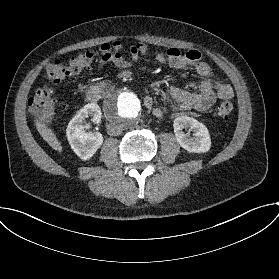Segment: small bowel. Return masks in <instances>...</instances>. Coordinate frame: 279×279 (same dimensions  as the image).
<instances>
[{
  "label": "small bowel",
  "mask_w": 279,
  "mask_h": 279,
  "mask_svg": "<svg viewBox=\"0 0 279 279\" xmlns=\"http://www.w3.org/2000/svg\"><path fill=\"white\" fill-rule=\"evenodd\" d=\"M150 56L148 46L138 43L130 47L129 57H125L119 41L103 44L98 51V70L113 67L128 70L142 57ZM158 63L168 64L170 67L185 70L194 67L196 73L203 79L189 81L187 87L192 91L182 89L174 85H167L166 93L168 103L166 107L157 106L152 97L144 98V106L152 112L156 118H162L167 112H181L195 109L205 111L212 106L217 99H230L233 96L232 87L223 79L214 75L211 67L202 61L201 53L192 49L182 52L177 48H169L153 54Z\"/></svg>",
  "instance_id": "obj_1"
}]
</instances>
